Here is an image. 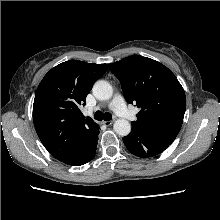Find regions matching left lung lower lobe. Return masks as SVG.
Here are the masks:
<instances>
[{"label":"left lung lower lobe","instance_id":"left-lung-lower-lobe-1","mask_svg":"<svg viewBox=\"0 0 220 220\" xmlns=\"http://www.w3.org/2000/svg\"><path fill=\"white\" fill-rule=\"evenodd\" d=\"M123 142L133 155L141 158L158 155L170 145L155 142L147 132L138 129H132L129 135L123 137Z\"/></svg>","mask_w":220,"mask_h":220}]
</instances>
